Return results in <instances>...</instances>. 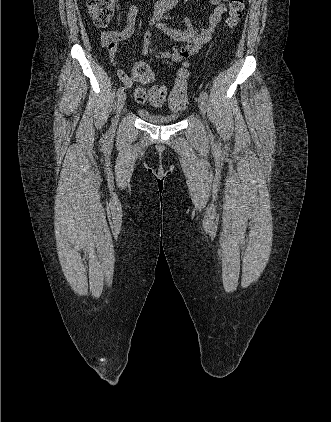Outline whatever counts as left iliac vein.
Returning <instances> with one entry per match:
<instances>
[{"label": "left iliac vein", "instance_id": "4c4485c4", "mask_svg": "<svg viewBox=\"0 0 331 422\" xmlns=\"http://www.w3.org/2000/svg\"><path fill=\"white\" fill-rule=\"evenodd\" d=\"M198 105H199V109H200L202 115L205 116V113H206V101H205L204 97H202L201 95L198 98Z\"/></svg>", "mask_w": 331, "mask_h": 422}]
</instances>
